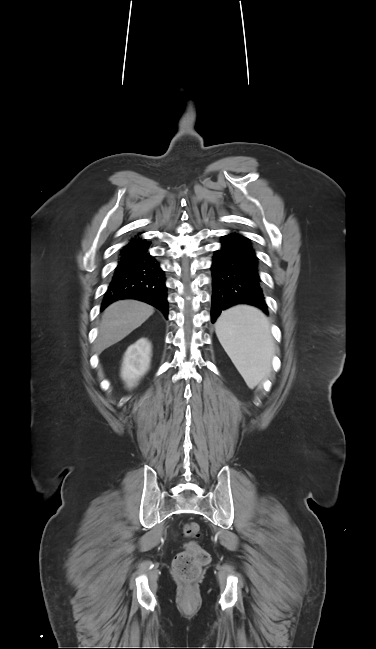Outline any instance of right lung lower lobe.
<instances>
[{"label": "right lung lower lobe", "mask_w": 376, "mask_h": 649, "mask_svg": "<svg viewBox=\"0 0 376 649\" xmlns=\"http://www.w3.org/2000/svg\"><path fill=\"white\" fill-rule=\"evenodd\" d=\"M149 242L132 239L120 252V260L101 308L120 299L146 302L168 315L164 272L148 253Z\"/></svg>", "instance_id": "98d812e1"}]
</instances>
